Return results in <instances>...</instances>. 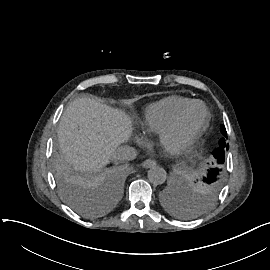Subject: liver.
Segmentation results:
<instances>
[{"label": "liver", "instance_id": "1", "mask_svg": "<svg viewBox=\"0 0 270 270\" xmlns=\"http://www.w3.org/2000/svg\"><path fill=\"white\" fill-rule=\"evenodd\" d=\"M130 132L122 112L82 97L71 102L60 120L59 148L76 169L95 170L110 162Z\"/></svg>", "mask_w": 270, "mask_h": 270}]
</instances>
